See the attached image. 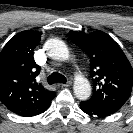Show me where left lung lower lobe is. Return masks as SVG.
<instances>
[{"instance_id":"left-lung-lower-lobe-1","label":"left lung lower lobe","mask_w":133,"mask_h":133,"mask_svg":"<svg viewBox=\"0 0 133 133\" xmlns=\"http://www.w3.org/2000/svg\"><path fill=\"white\" fill-rule=\"evenodd\" d=\"M80 107L83 112L89 115H96L99 117H105V116L111 115L116 112L110 109L100 108L98 106L88 103L87 101H82L80 103Z\"/></svg>"}]
</instances>
